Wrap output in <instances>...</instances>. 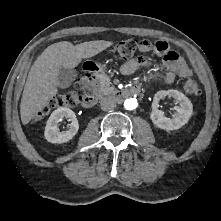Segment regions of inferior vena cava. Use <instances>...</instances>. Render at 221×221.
Returning a JSON list of instances; mask_svg holds the SVG:
<instances>
[{"mask_svg":"<svg viewBox=\"0 0 221 221\" xmlns=\"http://www.w3.org/2000/svg\"><path fill=\"white\" fill-rule=\"evenodd\" d=\"M100 105L102 110L108 111L116 107V102L111 97H103L101 99Z\"/></svg>","mask_w":221,"mask_h":221,"instance_id":"602c4592","label":"inferior vena cava"}]
</instances>
